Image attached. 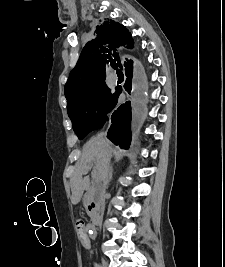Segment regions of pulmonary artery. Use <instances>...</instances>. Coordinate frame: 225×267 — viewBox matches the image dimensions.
Wrapping results in <instances>:
<instances>
[{"label": "pulmonary artery", "instance_id": "1", "mask_svg": "<svg viewBox=\"0 0 225 267\" xmlns=\"http://www.w3.org/2000/svg\"><path fill=\"white\" fill-rule=\"evenodd\" d=\"M111 80L114 83H116L118 81V77L114 72L111 73Z\"/></svg>", "mask_w": 225, "mask_h": 267}]
</instances>
